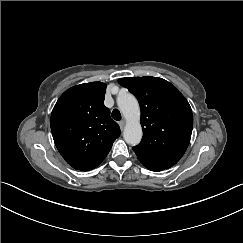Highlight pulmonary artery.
I'll use <instances>...</instances> for the list:
<instances>
[{"label":"pulmonary artery","mask_w":243,"mask_h":243,"mask_svg":"<svg viewBox=\"0 0 243 243\" xmlns=\"http://www.w3.org/2000/svg\"><path fill=\"white\" fill-rule=\"evenodd\" d=\"M124 103H125V100H119V101H118V106L121 107Z\"/></svg>","instance_id":"obj_1"}]
</instances>
